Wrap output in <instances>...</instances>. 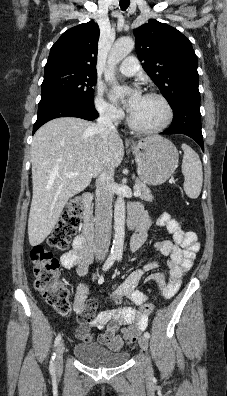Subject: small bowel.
I'll use <instances>...</instances> for the list:
<instances>
[{
	"label": "small bowel",
	"mask_w": 227,
	"mask_h": 396,
	"mask_svg": "<svg viewBox=\"0 0 227 396\" xmlns=\"http://www.w3.org/2000/svg\"><path fill=\"white\" fill-rule=\"evenodd\" d=\"M130 214L137 217L136 232L131 240V250L137 252L146 243L154 221L147 213L142 212L139 205H133L130 208ZM156 225L165 228L172 235V240H162L154 244L155 252L168 258L169 274L166 276L159 272L152 273L146 278V282L156 284L163 297H172L178 292L184 275L191 269L196 254L200 250V243L195 232L182 229L180 223L169 213H163L156 221ZM60 261L64 268L75 267L79 276H85L93 261V254L80 235L74 239L72 249L65 252ZM157 263V260L153 259L142 268L132 271L113 289L112 300L120 303L128 299L135 306L145 304L148 299L147 295L138 290L137 285L144 273L152 271ZM88 294V285H78L73 302L74 310L79 314L80 324L75 332L78 339L84 342L96 340L111 350L119 351L124 344L135 341L138 335L146 329L148 315L141 310L124 306L103 310L96 314L98 303L93 299L87 302ZM92 328L104 330V332L95 335L91 332Z\"/></svg>",
	"instance_id": "1"
}]
</instances>
